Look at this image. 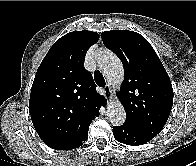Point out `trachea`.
<instances>
[{"mask_svg": "<svg viewBox=\"0 0 196 166\" xmlns=\"http://www.w3.org/2000/svg\"><path fill=\"white\" fill-rule=\"evenodd\" d=\"M94 79H95L98 86L103 87L106 85L105 79L99 71H96L94 73Z\"/></svg>", "mask_w": 196, "mask_h": 166, "instance_id": "3493384b", "label": "trachea"}]
</instances>
